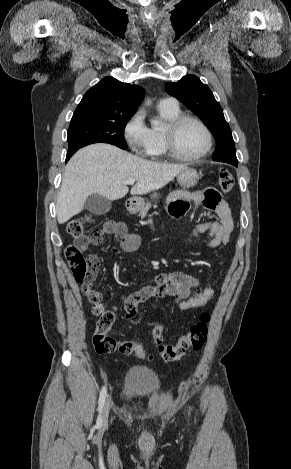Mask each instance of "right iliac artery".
<instances>
[{
	"label": "right iliac artery",
	"mask_w": 291,
	"mask_h": 469,
	"mask_svg": "<svg viewBox=\"0 0 291 469\" xmlns=\"http://www.w3.org/2000/svg\"><path fill=\"white\" fill-rule=\"evenodd\" d=\"M106 395H107V390H106V387L104 386L102 388L101 392H100L99 401H98L99 416H98V419H97V424L102 423L101 413H102V409H103L104 402H105V399H106Z\"/></svg>",
	"instance_id": "obj_1"
}]
</instances>
